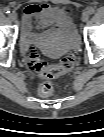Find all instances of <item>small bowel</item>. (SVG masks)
I'll use <instances>...</instances> for the list:
<instances>
[{
    "label": "small bowel",
    "instance_id": "small-bowel-1",
    "mask_svg": "<svg viewBox=\"0 0 104 137\" xmlns=\"http://www.w3.org/2000/svg\"><path fill=\"white\" fill-rule=\"evenodd\" d=\"M34 23L38 27H53L55 30H68L72 26L70 12L61 5L30 4L24 9L23 28L25 41L34 39Z\"/></svg>",
    "mask_w": 104,
    "mask_h": 137
}]
</instances>
